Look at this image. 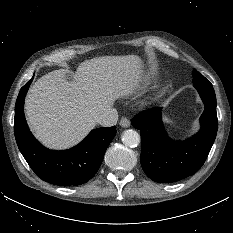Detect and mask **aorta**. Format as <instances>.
<instances>
[{"label":"aorta","instance_id":"aorta-1","mask_svg":"<svg viewBox=\"0 0 233 233\" xmlns=\"http://www.w3.org/2000/svg\"><path fill=\"white\" fill-rule=\"evenodd\" d=\"M122 142L125 146L136 147L140 143V135L135 130H125L122 134Z\"/></svg>","mask_w":233,"mask_h":233}]
</instances>
